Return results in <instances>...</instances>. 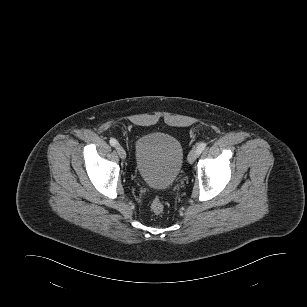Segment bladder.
Masks as SVG:
<instances>
[{"instance_id":"obj_1","label":"bladder","mask_w":307,"mask_h":307,"mask_svg":"<svg viewBox=\"0 0 307 307\" xmlns=\"http://www.w3.org/2000/svg\"><path fill=\"white\" fill-rule=\"evenodd\" d=\"M183 160V147L180 141L170 134L153 132L140 137L136 142V172L151 188H169L179 176Z\"/></svg>"}]
</instances>
